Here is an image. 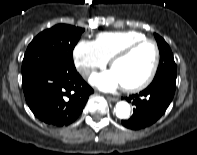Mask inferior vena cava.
Here are the masks:
<instances>
[{"instance_id": "1", "label": "inferior vena cava", "mask_w": 197, "mask_h": 155, "mask_svg": "<svg viewBox=\"0 0 197 155\" xmlns=\"http://www.w3.org/2000/svg\"><path fill=\"white\" fill-rule=\"evenodd\" d=\"M82 73L85 74V75H86V74H89V73H90V69H84V70L82 71Z\"/></svg>"}]
</instances>
